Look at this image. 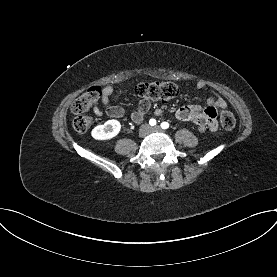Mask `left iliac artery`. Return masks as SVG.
<instances>
[{"label": "left iliac artery", "instance_id": "44dca946", "mask_svg": "<svg viewBox=\"0 0 277 277\" xmlns=\"http://www.w3.org/2000/svg\"><path fill=\"white\" fill-rule=\"evenodd\" d=\"M168 127H169V123H167V122H162L161 123V128L167 129Z\"/></svg>", "mask_w": 277, "mask_h": 277}]
</instances>
